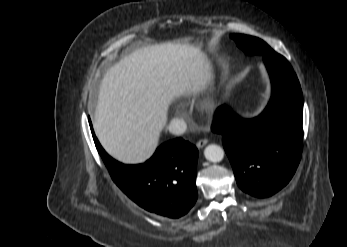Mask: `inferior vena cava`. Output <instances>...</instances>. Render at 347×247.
Listing matches in <instances>:
<instances>
[{
    "mask_svg": "<svg viewBox=\"0 0 347 247\" xmlns=\"http://www.w3.org/2000/svg\"><path fill=\"white\" fill-rule=\"evenodd\" d=\"M168 130L174 135H181L186 132L187 124L183 119L174 118L170 121Z\"/></svg>",
    "mask_w": 347,
    "mask_h": 247,
    "instance_id": "1",
    "label": "inferior vena cava"
}]
</instances>
